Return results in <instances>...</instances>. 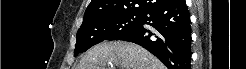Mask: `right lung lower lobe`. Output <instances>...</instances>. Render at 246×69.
<instances>
[{
	"label": "right lung lower lobe",
	"mask_w": 246,
	"mask_h": 69,
	"mask_svg": "<svg viewBox=\"0 0 246 69\" xmlns=\"http://www.w3.org/2000/svg\"><path fill=\"white\" fill-rule=\"evenodd\" d=\"M118 40L141 45L168 69H190V15L185 0H166L146 10L141 23Z\"/></svg>",
	"instance_id": "1"
}]
</instances>
